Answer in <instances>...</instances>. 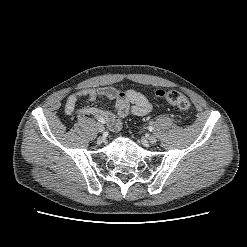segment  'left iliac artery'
<instances>
[{
  "mask_svg": "<svg viewBox=\"0 0 247 247\" xmlns=\"http://www.w3.org/2000/svg\"><path fill=\"white\" fill-rule=\"evenodd\" d=\"M153 129H154V128H153L152 126H149V127H148V130H149V131H153Z\"/></svg>",
  "mask_w": 247,
  "mask_h": 247,
  "instance_id": "left-iliac-artery-1",
  "label": "left iliac artery"
}]
</instances>
